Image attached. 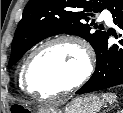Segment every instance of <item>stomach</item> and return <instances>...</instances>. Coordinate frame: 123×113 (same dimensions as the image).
Returning a JSON list of instances; mask_svg holds the SVG:
<instances>
[{
  "label": "stomach",
  "mask_w": 123,
  "mask_h": 113,
  "mask_svg": "<svg viewBox=\"0 0 123 113\" xmlns=\"http://www.w3.org/2000/svg\"><path fill=\"white\" fill-rule=\"evenodd\" d=\"M104 102V98L88 94L72 99L62 108L53 106L42 109L39 113H98Z\"/></svg>",
  "instance_id": "1"
}]
</instances>
